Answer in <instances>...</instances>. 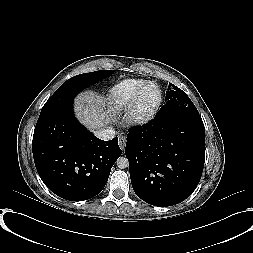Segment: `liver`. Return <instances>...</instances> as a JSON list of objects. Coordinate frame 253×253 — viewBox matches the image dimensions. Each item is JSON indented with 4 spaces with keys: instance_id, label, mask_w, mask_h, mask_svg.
I'll return each mask as SVG.
<instances>
[{
    "instance_id": "6515ba94",
    "label": "liver",
    "mask_w": 253,
    "mask_h": 253,
    "mask_svg": "<svg viewBox=\"0 0 253 253\" xmlns=\"http://www.w3.org/2000/svg\"><path fill=\"white\" fill-rule=\"evenodd\" d=\"M74 110L79 121L93 132L114 122L117 112L104 96L93 91L80 93L75 98Z\"/></svg>"
}]
</instances>
